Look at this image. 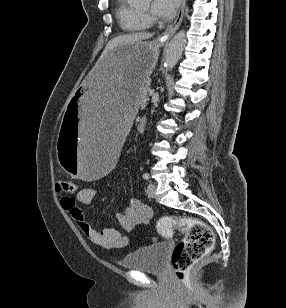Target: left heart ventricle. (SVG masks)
<instances>
[{"label":"left heart ventricle","mask_w":286,"mask_h":308,"mask_svg":"<svg viewBox=\"0 0 286 308\" xmlns=\"http://www.w3.org/2000/svg\"><path fill=\"white\" fill-rule=\"evenodd\" d=\"M150 9H151V4H150V2H148L147 4H145V5L140 9V11H141V12H144V13H149V12H150Z\"/></svg>","instance_id":"left-heart-ventricle-1"}]
</instances>
